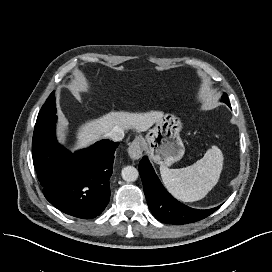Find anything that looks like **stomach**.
<instances>
[{
	"instance_id": "obj_1",
	"label": "stomach",
	"mask_w": 272,
	"mask_h": 272,
	"mask_svg": "<svg viewBox=\"0 0 272 272\" xmlns=\"http://www.w3.org/2000/svg\"><path fill=\"white\" fill-rule=\"evenodd\" d=\"M182 128L178 117L165 114L148 131L143 141L155 163L169 166L183 157L185 147L180 137Z\"/></svg>"
}]
</instances>
